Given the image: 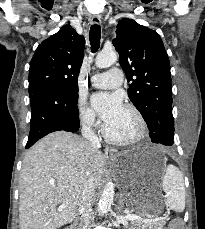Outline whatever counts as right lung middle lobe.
I'll use <instances>...</instances> for the list:
<instances>
[{
  "label": "right lung middle lobe",
  "mask_w": 205,
  "mask_h": 229,
  "mask_svg": "<svg viewBox=\"0 0 205 229\" xmlns=\"http://www.w3.org/2000/svg\"><path fill=\"white\" fill-rule=\"evenodd\" d=\"M64 89L69 90L74 95L78 96V85L77 84H68Z\"/></svg>",
  "instance_id": "1"
}]
</instances>
